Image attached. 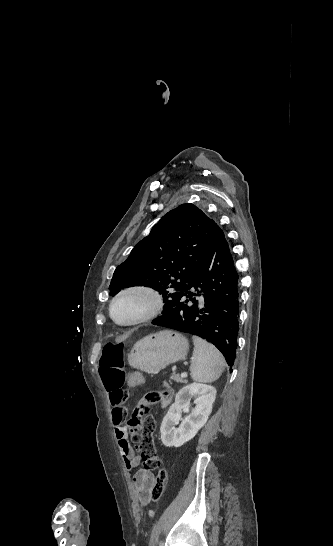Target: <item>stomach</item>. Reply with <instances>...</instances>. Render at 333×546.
I'll return each mask as SVG.
<instances>
[{
    "label": "stomach",
    "mask_w": 333,
    "mask_h": 546,
    "mask_svg": "<svg viewBox=\"0 0 333 546\" xmlns=\"http://www.w3.org/2000/svg\"><path fill=\"white\" fill-rule=\"evenodd\" d=\"M188 349V340L182 334L164 330L137 341L128 355V363L148 374H158L168 365L185 359Z\"/></svg>",
    "instance_id": "0dacf381"
}]
</instances>
